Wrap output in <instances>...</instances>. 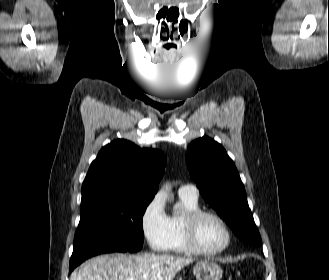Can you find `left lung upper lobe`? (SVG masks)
Listing matches in <instances>:
<instances>
[{"mask_svg": "<svg viewBox=\"0 0 329 280\" xmlns=\"http://www.w3.org/2000/svg\"><path fill=\"white\" fill-rule=\"evenodd\" d=\"M186 162L204 200L228 222L235 235L261 246L244 185L225 149L213 139L202 137L188 146Z\"/></svg>", "mask_w": 329, "mask_h": 280, "instance_id": "5c2ea615", "label": "left lung upper lobe"}]
</instances>
